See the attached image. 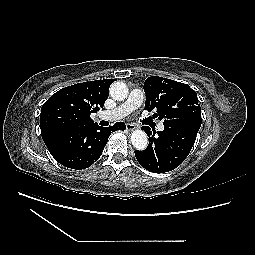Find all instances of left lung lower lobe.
Segmentation results:
<instances>
[{
  "label": "left lung lower lobe",
  "instance_id": "left-lung-lower-lobe-1",
  "mask_svg": "<svg viewBox=\"0 0 255 255\" xmlns=\"http://www.w3.org/2000/svg\"><path fill=\"white\" fill-rule=\"evenodd\" d=\"M164 130H150L142 127L149 137V145L143 151L135 150V156L146 170L154 173H165L177 168L190 153L201 122L163 124Z\"/></svg>",
  "mask_w": 255,
  "mask_h": 255
}]
</instances>
